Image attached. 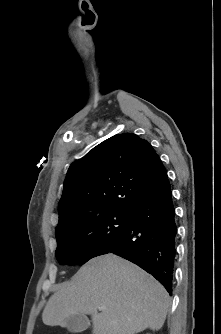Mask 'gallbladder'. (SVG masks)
<instances>
[{
  "mask_svg": "<svg viewBox=\"0 0 221 334\" xmlns=\"http://www.w3.org/2000/svg\"><path fill=\"white\" fill-rule=\"evenodd\" d=\"M90 326V321L83 314L70 316L66 321V328L72 333H81L87 330Z\"/></svg>",
  "mask_w": 221,
  "mask_h": 334,
  "instance_id": "obj_1",
  "label": "gallbladder"
}]
</instances>
